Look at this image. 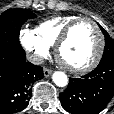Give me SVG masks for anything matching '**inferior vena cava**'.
<instances>
[{
    "label": "inferior vena cava",
    "instance_id": "inferior-vena-cava-1",
    "mask_svg": "<svg viewBox=\"0 0 114 114\" xmlns=\"http://www.w3.org/2000/svg\"><path fill=\"white\" fill-rule=\"evenodd\" d=\"M27 59L32 64L40 65L44 63V58L38 54L28 55Z\"/></svg>",
    "mask_w": 114,
    "mask_h": 114
}]
</instances>
